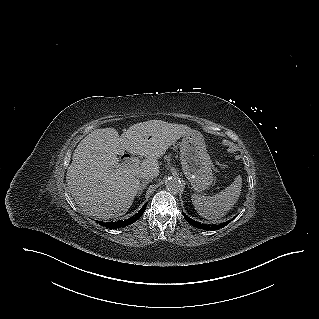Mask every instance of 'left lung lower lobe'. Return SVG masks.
<instances>
[{"label":"left lung lower lobe","instance_id":"0a47b994","mask_svg":"<svg viewBox=\"0 0 319 319\" xmlns=\"http://www.w3.org/2000/svg\"><path fill=\"white\" fill-rule=\"evenodd\" d=\"M183 216L185 218V220L192 226L196 227V228H199V229H203V230H207V231H214V230H218L219 228H223L225 227L226 225H228L232 220H229L227 222H224L222 224H219V225H207V224H202V223H199L191 218H189L187 215H185L183 213Z\"/></svg>","mask_w":319,"mask_h":319}]
</instances>
